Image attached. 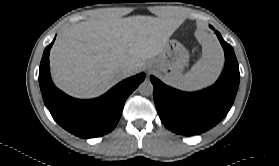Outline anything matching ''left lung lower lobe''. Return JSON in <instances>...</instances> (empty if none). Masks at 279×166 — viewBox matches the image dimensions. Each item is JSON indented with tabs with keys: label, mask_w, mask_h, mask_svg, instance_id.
<instances>
[{
	"label": "left lung lower lobe",
	"mask_w": 279,
	"mask_h": 166,
	"mask_svg": "<svg viewBox=\"0 0 279 166\" xmlns=\"http://www.w3.org/2000/svg\"><path fill=\"white\" fill-rule=\"evenodd\" d=\"M210 28L213 29L212 26ZM225 53L220 80L200 92L187 93L166 86L151 76L154 102L162 123L182 135H196L219 123L233 105L240 80L238 62L232 46L215 31Z\"/></svg>",
	"instance_id": "0a47b994"
}]
</instances>
